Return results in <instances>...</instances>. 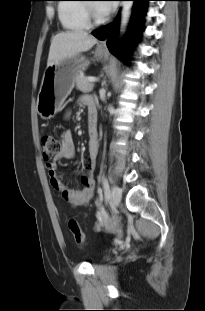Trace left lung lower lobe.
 I'll return each instance as SVG.
<instances>
[{"label":"left lung lower lobe","mask_w":205,"mask_h":311,"mask_svg":"<svg viewBox=\"0 0 205 311\" xmlns=\"http://www.w3.org/2000/svg\"><path fill=\"white\" fill-rule=\"evenodd\" d=\"M131 1L135 2L130 26L131 32L129 34L130 42L133 43L140 34L143 26V16L146 13L145 2L150 0ZM118 19L119 15L116 17L115 21L112 24H108L92 32V34L100 40H104L108 37L107 46L112 54H114L115 40L117 37Z\"/></svg>","instance_id":"1"}]
</instances>
